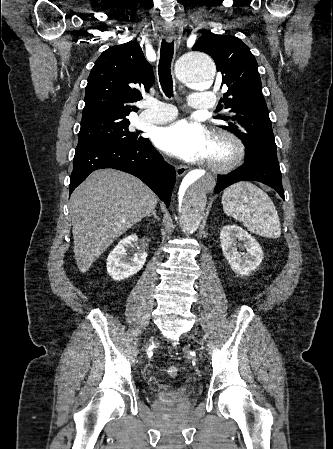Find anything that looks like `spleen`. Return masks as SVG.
<instances>
[{
  "instance_id": "1",
  "label": "spleen",
  "mask_w": 333,
  "mask_h": 449,
  "mask_svg": "<svg viewBox=\"0 0 333 449\" xmlns=\"http://www.w3.org/2000/svg\"><path fill=\"white\" fill-rule=\"evenodd\" d=\"M224 212L232 216L252 233L268 238H279L281 225L277 210L270 197L249 182H239L224 190Z\"/></svg>"
}]
</instances>
